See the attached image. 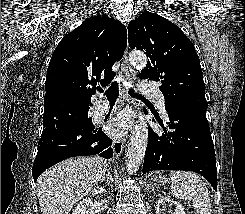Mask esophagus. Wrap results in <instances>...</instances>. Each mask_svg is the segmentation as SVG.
Returning <instances> with one entry per match:
<instances>
[{"mask_svg":"<svg viewBox=\"0 0 245 214\" xmlns=\"http://www.w3.org/2000/svg\"><path fill=\"white\" fill-rule=\"evenodd\" d=\"M122 71L125 75V81L127 85L133 87L136 78H135V73L132 70L128 62V49L125 50L123 58H122ZM122 98L124 102L126 103L130 102V96L128 95L127 90L125 88L123 89ZM124 143H125V139L123 138H117L114 140L113 150H114L115 155L120 156L122 154Z\"/></svg>","mask_w":245,"mask_h":214,"instance_id":"34e87169","label":"esophagus"}]
</instances>
